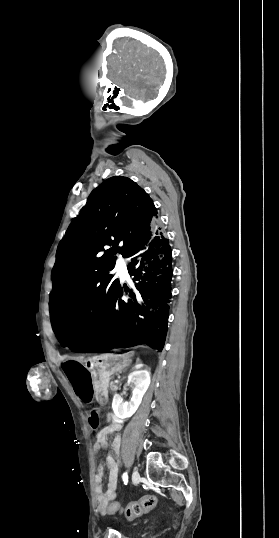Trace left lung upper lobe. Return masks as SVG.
Masks as SVG:
<instances>
[{
    "instance_id": "left-lung-upper-lobe-1",
    "label": "left lung upper lobe",
    "mask_w": 279,
    "mask_h": 538,
    "mask_svg": "<svg viewBox=\"0 0 279 538\" xmlns=\"http://www.w3.org/2000/svg\"><path fill=\"white\" fill-rule=\"evenodd\" d=\"M157 210L149 195L127 177L114 176L92 191L57 248L50 313L56 337L90 336L103 322L120 288L109 274L118 252L130 248L154 226ZM111 246L100 257L104 246Z\"/></svg>"
}]
</instances>
